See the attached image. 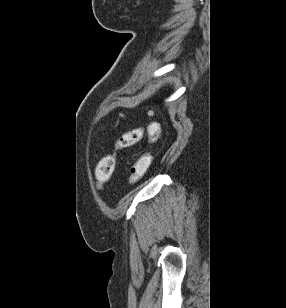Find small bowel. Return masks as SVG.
Listing matches in <instances>:
<instances>
[{"mask_svg": "<svg viewBox=\"0 0 286 308\" xmlns=\"http://www.w3.org/2000/svg\"><path fill=\"white\" fill-rule=\"evenodd\" d=\"M157 125L158 126V131L153 132V127ZM147 131H148V140H156L159 137V125L157 123L150 124L147 126Z\"/></svg>", "mask_w": 286, "mask_h": 308, "instance_id": "c3829d8e", "label": "small bowel"}]
</instances>
